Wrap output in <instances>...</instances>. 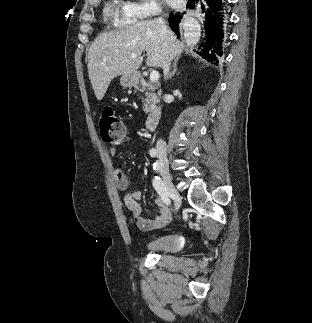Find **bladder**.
Instances as JSON below:
<instances>
[{"instance_id":"1","label":"bladder","mask_w":312,"mask_h":323,"mask_svg":"<svg viewBox=\"0 0 312 323\" xmlns=\"http://www.w3.org/2000/svg\"><path fill=\"white\" fill-rule=\"evenodd\" d=\"M179 244L174 234H165L163 236L148 240L145 249L150 252H171L178 250Z\"/></svg>"}]
</instances>
